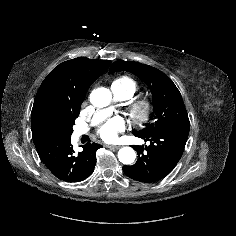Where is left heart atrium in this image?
I'll use <instances>...</instances> for the list:
<instances>
[{
	"instance_id": "obj_1",
	"label": "left heart atrium",
	"mask_w": 236,
	"mask_h": 236,
	"mask_svg": "<svg viewBox=\"0 0 236 236\" xmlns=\"http://www.w3.org/2000/svg\"><path fill=\"white\" fill-rule=\"evenodd\" d=\"M125 129V122L122 117L115 116L105 122L98 130L99 136L107 142L117 139L118 133Z\"/></svg>"
}]
</instances>
